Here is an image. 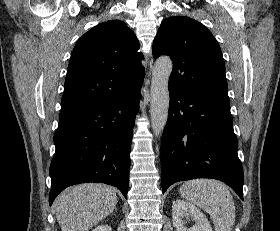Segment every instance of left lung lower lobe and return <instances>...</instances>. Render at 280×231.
<instances>
[{
  "instance_id": "obj_1",
  "label": "left lung lower lobe",
  "mask_w": 280,
  "mask_h": 231,
  "mask_svg": "<svg viewBox=\"0 0 280 231\" xmlns=\"http://www.w3.org/2000/svg\"><path fill=\"white\" fill-rule=\"evenodd\" d=\"M169 93L161 144L163 193L178 181L214 178L229 185L243 200L244 175L229 101L170 87Z\"/></svg>"
}]
</instances>
